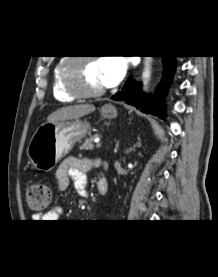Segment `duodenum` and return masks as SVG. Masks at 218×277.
I'll return each mask as SVG.
<instances>
[{"label": "duodenum", "mask_w": 218, "mask_h": 277, "mask_svg": "<svg viewBox=\"0 0 218 277\" xmlns=\"http://www.w3.org/2000/svg\"><path fill=\"white\" fill-rule=\"evenodd\" d=\"M96 188H97V191L99 192V194L105 195L109 191V183L106 179L101 178L97 181Z\"/></svg>", "instance_id": "duodenum-1"}]
</instances>
